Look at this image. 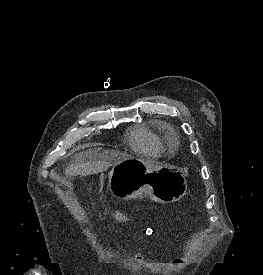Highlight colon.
I'll use <instances>...</instances> for the list:
<instances>
[{"label": "colon", "instance_id": "colon-1", "mask_svg": "<svg viewBox=\"0 0 263 275\" xmlns=\"http://www.w3.org/2000/svg\"><path fill=\"white\" fill-rule=\"evenodd\" d=\"M110 214L113 217V219L118 222H126L128 220L127 215L118 210L112 211Z\"/></svg>", "mask_w": 263, "mask_h": 275}]
</instances>
